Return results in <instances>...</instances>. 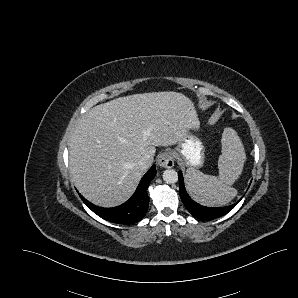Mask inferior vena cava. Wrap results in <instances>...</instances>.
<instances>
[{
    "mask_svg": "<svg viewBox=\"0 0 298 298\" xmlns=\"http://www.w3.org/2000/svg\"><path fill=\"white\" fill-rule=\"evenodd\" d=\"M151 162L149 161V159L147 157H141L139 162H138V166L140 168H142L143 170H147L148 168L151 167Z\"/></svg>",
    "mask_w": 298,
    "mask_h": 298,
    "instance_id": "1",
    "label": "inferior vena cava"
}]
</instances>
